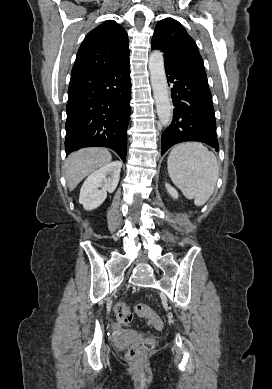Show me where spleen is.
I'll use <instances>...</instances> for the list:
<instances>
[{
	"instance_id": "3e777b00",
	"label": "spleen",
	"mask_w": 272,
	"mask_h": 389,
	"mask_svg": "<svg viewBox=\"0 0 272 389\" xmlns=\"http://www.w3.org/2000/svg\"><path fill=\"white\" fill-rule=\"evenodd\" d=\"M173 183L187 199L197 206L203 205L212 195L218 178V163L214 153L195 142L176 145L167 161Z\"/></svg>"
}]
</instances>
